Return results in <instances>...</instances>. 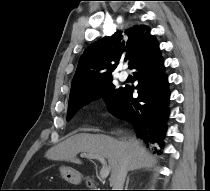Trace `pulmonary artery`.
I'll return each instance as SVG.
<instances>
[{
	"mask_svg": "<svg viewBox=\"0 0 210 191\" xmlns=\"http://www.w3.org/2000/svg\"><path fill=\"white\" fill-rule=\"evenodd\" d=\"M127 78H128V74H127L126 72H121V73L119 74V79H120L121 81H125Z\"/></svg>",
	"mask_w": 210,
	"mask_h": 191,
	"instance_id": "1",
	"label": "pulmonary artery"
}]
</instances>
